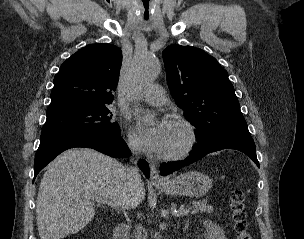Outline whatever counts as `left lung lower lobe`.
Listing matches in <instances>:
<instances>
[{"label": "left lung lower lobe", "instance_id": "obj_1", "mask_svg": "<svg viewBox=\"0 0 304 239\" xmlns=\"http://www.w3.org/2000/svg\"><path fill=\"white\" fill-rule=\"evenodd\" d=\"M222 149L239 150L249 156L259 167V162L256 156L255 143L251 136H227L212 141L210 143L198 146L185 160L162 164L160 167V173L163 176L168 175L182 168L183 166L197 161L208 153Z\"/></svg>", "mask_w": 304, "mask_h": 239}]
</instances>
